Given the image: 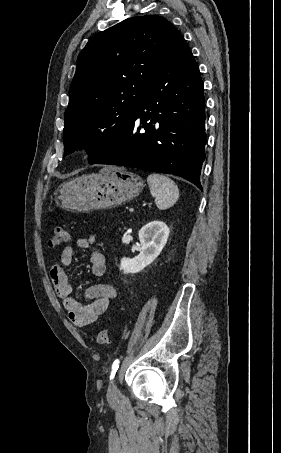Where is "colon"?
Returning <instances> with one entry per match:
<instances>
[{
  "label": "colon",
  "mask_w": 281,
  "mask_h": 453,
  "mask_svg": "<svg viewBox=\"0 0 281 453\" xmlns=\"http://www.w3.org/2000/svg\"><path fill=\"white\" fill-rule=\"evenodd\" d=\"M65 230L62 227H55L52 230L51 241L53 248H60L64 245ZM111 340V333L109 330L104 329L95 335V343L98 346H105Z\"/></svg>",
  "instance_id": "5ec220e1"
}]
</instances>
